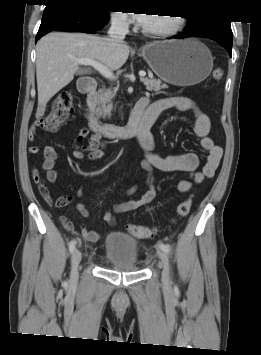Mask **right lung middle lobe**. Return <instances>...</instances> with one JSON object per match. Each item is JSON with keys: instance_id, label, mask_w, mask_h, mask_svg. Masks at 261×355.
I'll return each instance as SVG.
<instances>
[{"instance_id": "1", "label": "right lung middle lobe", "mask_w": 261, "mask_h": 355, "mask_svg": "<svg viewBox=\"0 0 261 355\" xmlns=\"http://www.w3.org/2000/svg\"><path fill=\"white\" fill-rule=\"evenodd\" d=\"M101 0H84L81 1L80 3L85 4L89 6L91 9L98 13H108V10H106L103 5L100 2Z\"/></svg>"}]
</instances>
